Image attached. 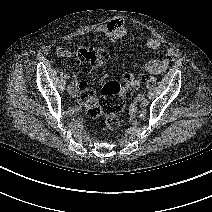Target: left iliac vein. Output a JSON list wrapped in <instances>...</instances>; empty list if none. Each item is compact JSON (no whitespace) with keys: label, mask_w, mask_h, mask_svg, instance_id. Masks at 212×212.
Wrapping results in <instances>:
<instances>
[{"label":"left iliac vein","mask_w":212,"mask_h":212,"mask_svg":"<svg viewBox=\"0 0 212 212\" xmlns=\"http://www.w3.org/2000/svg\"><path fill=\"white\" fill-rule=\"evenodd\" d=\"M137 101H138L141 105H143V95H138Z\"/></svg>","instance_id":"left-iliac-vein-1"}]
</instances>
